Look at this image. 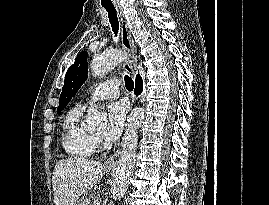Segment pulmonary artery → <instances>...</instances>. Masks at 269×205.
<instances>
[{
  "label": "pulmonary artery",
  "instance_id": "obj_1",
  "mask_svg": "<svg viewBox=\"0 0 269 205\" xmlns=\"http://www.w3.org/2000/svg\"><path fill=\"white\" fill-rule=\"evenodd\" d=\"M119 85L120 80L118 78H112L101 83L91 92V101L116 98L119 94Z\"/></svg>",
  "mask_w": 269,
  "mask_h": 205
}]
</instances>
